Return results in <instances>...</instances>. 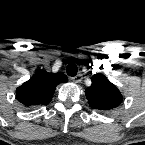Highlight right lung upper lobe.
<instances>
[{
	"mask_svg": "<svg viewBox=\"0 0 145 145\" xmlns=\"http://www.w3.org/2000/svg\"><path fill=\"white\" fill-rule=\"evenodd\" d=\"M67 81L63 73L53 74L42 70L16 89V97L27 107L47 105L52 100L56 86Z\"/></svg>",
	"mask_w": 145,
	"mask_h": 145,
	"instance_id": "cb5924a9",
	"label": "right lung upper lobe"
}]
</instances>
